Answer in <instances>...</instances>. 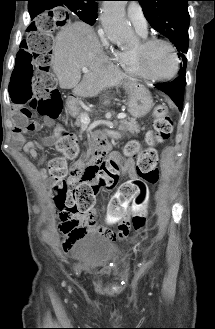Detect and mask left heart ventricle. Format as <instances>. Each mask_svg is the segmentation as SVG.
<instances>
[{"label":"left heart ventricle","instance_id":"b2bd125f","mask_svg":"<svg viewBox=\"0 0 215 329\" xmlns=\"http://www.w3.org/2000/svg\"><path fill=\"white\" fill-rule=\"evenodd\" d=\"M145 67L154 76L170 75L175 67L174 56L170 48L164 44L154 45L148 53Z\"/></svg>","mask_w":215,"mask_h":329}]
</instances>
